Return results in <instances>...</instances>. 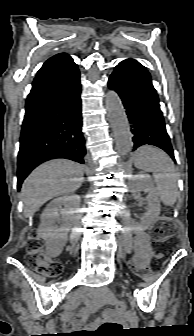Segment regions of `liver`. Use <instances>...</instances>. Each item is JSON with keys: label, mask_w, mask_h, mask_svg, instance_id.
<instances>
[{"label": "liver", "mask_w": 194, "mask_h": 336, "mask_svg": "<svg viewBox=\"0 0 194 336\" xmlns=\"http://www.w3.org/2000/svg\"><path fill=\"white\" fill-rule=\"evenodd\" d=\"M83 181V166L76 162L53 159L41 164L22 185L24 213L33 215L48 200L75 192Z\"/></svg>", "instance_id": "liver-1"}]
</instances>
